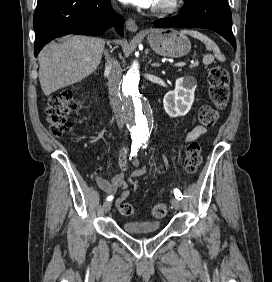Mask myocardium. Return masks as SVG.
<instances>
[{"mask_svg": "<svg viewBox=\"0 0 272 282\" xmlns=\"http://www.w3.org/2000/svg\"><path fill=\"white\" fill-rule=\"evenodd\" d=\"M182 0H172L168 5L160 8H152V12L160 16H168L174 14L181 7Z\"/></svg>", "mask_w": 272, "mask_h": 282, "instance_id": "f54148a6", "label": "myocardium"}]
</instances>
